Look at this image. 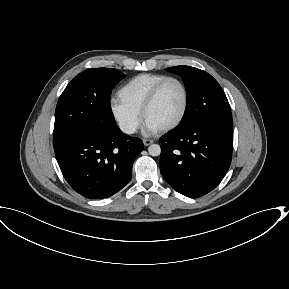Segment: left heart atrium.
<instances>
[{
	"mask_svg": "<svg viewBox=\"0 0 289 289\" xmlns=\"http://www.w3.org/2000/svg\"><path fill=\"white\" fill-rule=\"evenodd\" d=\"M160 130V128H158L157 126L149 123V122H145V125H144V132L145 134H154L156 132H158Z\"/></svg>",
	"mask_w": 289,
	"mask_h": 289,
	"instance_id": "left-heart-atrium-1",
	"label": "left heart atrium"
}]
</instances>
